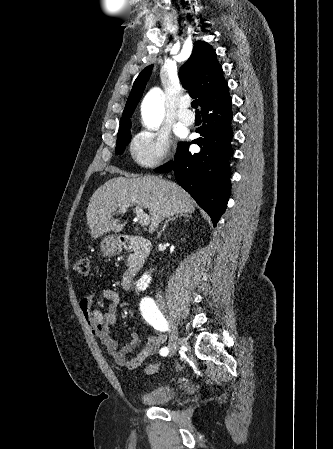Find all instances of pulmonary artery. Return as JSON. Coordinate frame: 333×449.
I'll return each instance as SVG.
<instances>
[{
    "label": "pulmonary artery",
    "instance_id": "e3ab8cb5",
    "mask_svg": "<svg viewBox=\"0 0 333 449\" xmlns=\"http://www.w3.org/2000/svg\"><path fill=\"white\" fill-rule=\"evenodd\" d=\"M187 103L181 101L178 105V119L185 125L193 124L195 117L193 113L187 108Z\"/></svg>",
    "mask_w": 333,
    "mask_h": 449
}]
</instances>
